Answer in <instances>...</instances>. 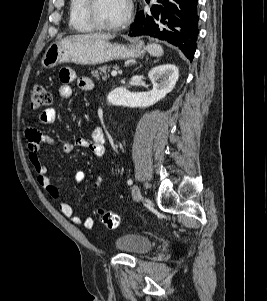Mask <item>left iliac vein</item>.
<instances>
[{"label": "left iliac vein", "instance_id": "obj_1", "mask_svg": "<svg viewBox=\"0 0 267 301\" xmlns=\"http://www.w3.org/2000/svg\"><path fill=\"white\" fill-rule=\"evenodd\" d=\"M132 197L134 201H139L141 199V192L137 185H133L132 187Z\"/></svg>", "mask_w": 267, "mask_h": 301}]
</instances>
